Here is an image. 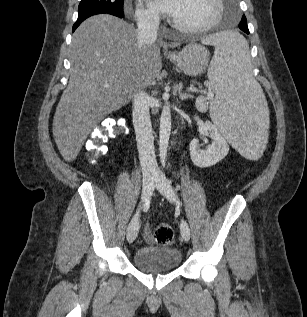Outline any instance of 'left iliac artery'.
I'll return each mask as SVG.
<instances>
[{
    "mask_svg": "<svg viewBox=\"0 0 307 317\" xmlns=\"http://www.w3.org/2000/svg\"><path fill=\"white\" fill-rule=\"evenodd\" d=\"M175 191L177 192V188H175ZM177 199H178V204H180V200H179V198H178V196H177Z\"/></svg>",
    "mask_w": 307,
    "mask_h": 317,
    "instance_id": "1",
    "label": "left iliac artery"
}]
</instances>
